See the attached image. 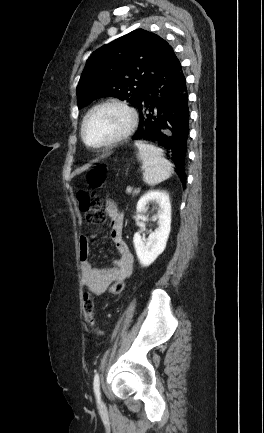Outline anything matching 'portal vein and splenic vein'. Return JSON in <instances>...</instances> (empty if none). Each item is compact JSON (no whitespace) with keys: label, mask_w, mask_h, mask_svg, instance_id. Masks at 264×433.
<instances>
[{"label":"portal vein and splenic vein","mask_w":264,"mask_h":433,"mask_svg":"<svg viewBox=\"0 0 264 433\" xmlns=\"http://www.w3.org/2000/svg\"><path fill=\"white\" fill-rule=\"evenodd\" d=\"M126 191H127V193H131L132 192V188L128 187Z\"/></svg>","instance_id":"18ae733b"}]
</instances>
